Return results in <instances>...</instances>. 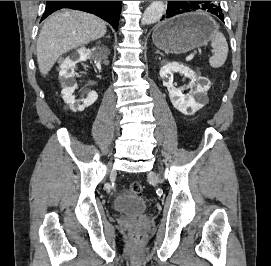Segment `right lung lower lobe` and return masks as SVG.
<instances>
[{
	"mask_svg": "<svg viewBox=\"0 0 271 266\" xmlns=\"http://www.w3.org/2000/svg\"><path fill=\"white\" fill-rule=\"evenodd\" d=\"M122 1H46L44 20L48 15L61 8H71L97 15L110 23L117 31Z\"/></svg>",
	"mask_w": 271,
	"mask_h": 266,
	"instance_id": "98d812e1",
	"label": "right lung lower lobe"
}]
</instances>
